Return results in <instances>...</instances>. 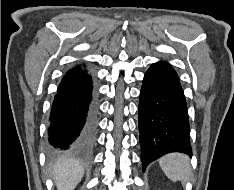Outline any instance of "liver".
Masks as SVG:
<instances>
[{"instance_id":"6515ba94","label":"liver","mask_w":234,"mask_h":190,"mask_svg":"<svg viewBox=\"0 0 234 190\" xmlns=\"http://www.w3.org/2000/svg\"><path fill=\"white\" fill-rule=\"evenodd\" d=\"M83 175L82 165L73 159H60L53 166L52 176L58 190H74Z\"/></svg>"}]
</instances>
